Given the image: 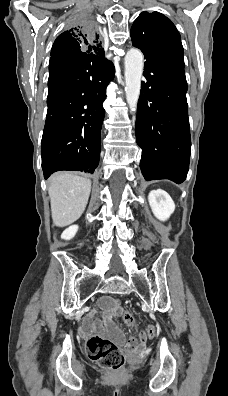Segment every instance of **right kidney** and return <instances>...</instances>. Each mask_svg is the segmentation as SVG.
Returning <instances> with one entry per match:
<instances>
[{
  "label": "right kidney",
  "instance_id": "ca27d5eb",
  "mask_svg": "<svg viewBox=\"0 0 228 396\" xmlns=\"http://www.w3.org/2000/svg\"><path fill=\"white\" fill-rule=\"evenodd\" d=\"M78 231V226L77 225H72L69 228H67L66 230L63 231L61 238L65 239V240H70L72 239L75 234Z\"/></svg>",
  "mask_w": 228,
  "mask_h": 396
}]
</instances>
